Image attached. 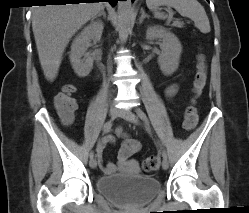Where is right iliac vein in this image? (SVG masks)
Returning <instances> with one entry per match:
<instances>
[{
	"instance_id": "obj_1",
	"label": "right iliac vein",
	"mask_w": 249,
	"mask_h": 213,
	"mask_svg": "<svg viewBox=\"0 0 249 213\" xmlns=\"http://www.w3.org/2000/svg\"><path fill=\"white\" fill-rule=\"evenodd\" d=\"M109 115L112 119H115L119 115V109L114 105L111 106L110 110H109ZM89 166L93 169L96 168V166H97L96 159L91 158L89 161Z\"/></svg>"
}]
</instances>
